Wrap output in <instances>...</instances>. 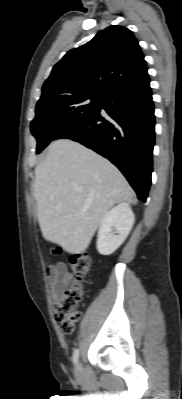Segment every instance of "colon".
I'll return each instance as SVG.
<instances>
[{
	"instance_id": "5ec220e1",
	"label": "colon",
	"mask_w": 182,
	"mask_h": 399,
	"mask_svg": "<svg viewBox=\"0 0 182 399\" xmlns=\"http://www.w3.org/2000/svg\"><path fill=\"white\" fill-rule=\"evenodd\" d=\"M52 252L60 254L62 249L60 246H54ZM91 266L92 261L87 253L76 255L70 262L73 281L55 307L56 321L65 333H71L80 318L79 306L85 297L84 278L90 272Z\"/></svg>"
}]
</instances>
